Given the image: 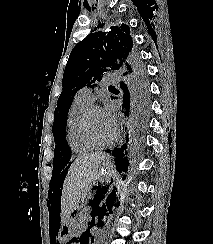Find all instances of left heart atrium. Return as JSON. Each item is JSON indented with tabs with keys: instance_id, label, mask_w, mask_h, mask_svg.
Listing matches in <instances>:
<instances>
[{
	"instance_id": "1",
	"label": "left heart atrium",
	"mask_w": 213,
	"mask_h": 244,
	"mask_svg": "<svg viewBox=\"0 0 213 244\" xmlns=\"http://www.w3.org/2000/svg\"><path fill=\"white\" fill-rule=\"evenodd\" d=\"M104 118L106 120V122L113 128H115L116 125V114L115 111L113 109V107L111 106H107L106 108H104L102 110Z\"/></svg>"
}]
</instances>
